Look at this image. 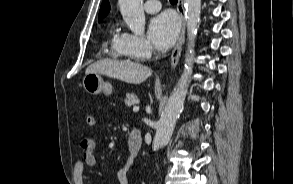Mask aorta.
<instances>
[{"label":"aorta","mask_w":293,"mask_h":184,"mask_svg":"<svg viewBox=\"0 0 293 184\" xmlns=\"http://www.w3.org/2000/svg\"><path fill=\"white\" fill-rule=\"evenodd\" d=\"M143 0H118L122 17L134 34H141L145 29ZM187 22L188 48L185 54V68L171 93L166 107L156 127L153 140L154 150L166 145L175 128L187 95L190 77L193 72L194 42L200 23L201 0H184Z\"/></svg>","instance_id":"762f6f07"}]
</instances>
